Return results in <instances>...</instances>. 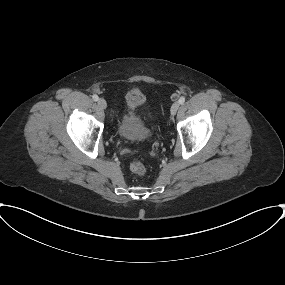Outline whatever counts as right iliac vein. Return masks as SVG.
<instances>
[{
	"label": "right iliac vein",
	"mask_w": 285,
	"mask_h": 285,
	"mask_svg": "<svg viewBox=\"0 0 285 285\" xmlns=\"http://www.w3.org/2000/svg\"><path fill=\"white\" fill-rule=\"evenodd\" d=\"M98 106L101 109H106L107 103H106V101L103 98H100V99H98Z\"/></svg>",
	"instance_id": "obj_1"
}]
</instances>
